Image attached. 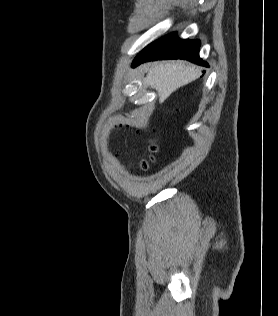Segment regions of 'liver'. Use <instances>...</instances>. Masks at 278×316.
Returning <instances> with one entry per match:
<instances>
[{
  "label": "liver",
  "instance_id": "6515ba94",
  "mask_svg": "<svg viewBox=\"0 0 278 316\" xmlns=\"http://www.w3.org/2000/svg\"><path fill=\"white\" fill-rule=\"evenodd\" d=\"M145 72L144 84L158 92L159 102H163L176 89L201 75V71L195 66L181 61L158 63L150 70L145 69Z\"/></svg>",
  "mask_w": 278,
  "mask_h": 316
}]
</instances>
